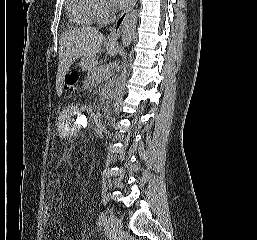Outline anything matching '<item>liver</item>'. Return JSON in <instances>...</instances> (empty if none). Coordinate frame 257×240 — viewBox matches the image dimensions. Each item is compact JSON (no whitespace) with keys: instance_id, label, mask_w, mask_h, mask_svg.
I'll list each match as a JSON object with an SVG mask.
<instances>
[{"instance_id":"6515ba94","label":"liver","mask_w":257,"mask_h":240,"mask_svg":"<svg viewBox=\"0 0 257 240\" xmlns=\"http://www.w3.org/2000/svg\"><path fill=\"white\" fill-rule=\"evenodd\" d=\"M104 41V35L93 27L78 28L61 35L56 76L58 95L61 94L62 83L70 66L79 58L95 60Z\"/></svg>"}]
</instances>
